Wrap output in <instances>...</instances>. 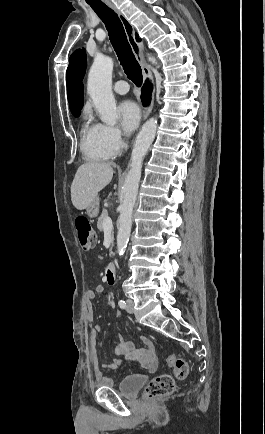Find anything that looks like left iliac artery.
Wrapping results in <instances>:
<instances>
[{"instance_id": "44dca946", "label": "left iliac artery", "mask_w": 265, "mask_h": 434, "mask_svg": "<svg viewBox=\"0 0 265 434\" xmlns=\"http://www.w3.org/2000/svg\"><path fill=\"white\" fill-rule=\"evenodd\" d=\"M118 304H119L120 308H123V309H124V308L126 307V303H125V301L122 300V299L119 300Z\"/></svg>"}]
</instances>
